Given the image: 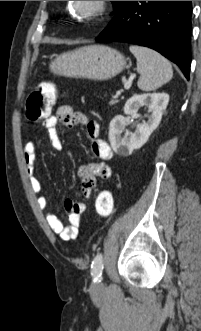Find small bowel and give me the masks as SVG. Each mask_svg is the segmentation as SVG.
I'll return each mask as SVG.
<instances>
[{"instance_id":"c3829d8e","label":"small bowel","mask_w":201,"mask_h":331,"mask_svg":"<svg viewBox=\"0 0 201 331\" xmlns=\"http://www.w3.org/2000/svg\"><path fill=\"white\" fill-rule=\"evenodd\" d=\"M60 124L67 128L73 127L76 124L84 126L88 138L92 141V151L101 160V162L96 163H84L78 169V177L81 181V194L83 197L89 198L96 187V179H109L112 175V169L108 164V161L113 157L112 149L105 140L99 138V124L90 119L85 113L74 111L68 105L60 106L55 114L50 115L43 122V127L54 149L61 150L63 148V143L58 133V126ZM23 153L30 185L36 194L38 205L45 213L49 227L62 240H75L79 234L81 215L86 210V204L67 199L64 203V209L67 213L68 225L64 226L58 217L49 209L41 182L35 173L36 144L31 141L27 142L24 145Z\"/></svg>"}]
</instances>
